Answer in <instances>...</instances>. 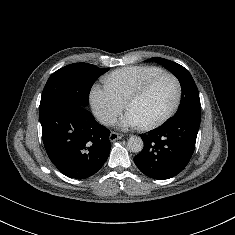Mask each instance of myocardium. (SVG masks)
<instances>
[{
    "instance_id": "1",
    "label": "myocardium",
    "mask_w": 235,
    "mask_h": 235,
    "mask_svg": "<svg viewBox=\"0 0 235 235\" xmlns=\"http://www.w3.org/2000/svg\"><path fill=\"white\" fill-rule=\"evenodd\" d=\"M162 78H170L174 81L176 85V96L174 103L172 104L171 108L160 118L155 121H152L147 124L141 125V128L144 130H151L155 129L164 123H166L172 116L176 113L179 108L181 98H182V85L180 80L172 73L169 72H162L159 73L151 78H149L144 84H142L135 92H133L125 102L126 109H129L130 105L135 102L136 100L143 97L149 89L160 79Z\"/></svg>"
}]
</instances>
